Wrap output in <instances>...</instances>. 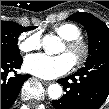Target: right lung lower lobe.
<instances>
[{
  "label": "right lung lower lobe",
  "instance_id": "98d812e1",
  "mask_svg": "<svg viewBox=\"0 0 109 109\" xmlns=\"http://www.w3.org/2000/svg\"><path fill=\"white\" fill-rule=\"evenodd\" d=\"M22 62L21 56H1V109H8L15 102L23 83L30 77V75H19L15 72ZM12 71L15 75L8 76Z\"/></svg>",
  "mask_w": 109,
  "mask_h": 109
}]
</instances>
